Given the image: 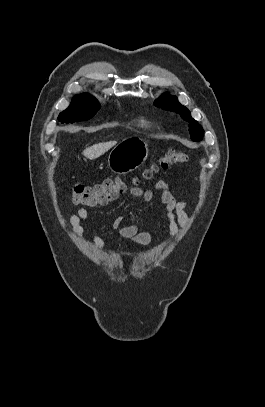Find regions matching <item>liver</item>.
Wrapping results in <instances>:
<instances>
[{
	"label": "liver",
	"mask_w": 265,
	"mask_h": 407,
	"mask_svg": "<svg viewBox=\"0 0 265 407\" xmlns=\"http://www.w3.org/2000/svg\"><path fill=\"white\" fill-rule=\"evenodd\" d=\"M116 143H117L116 141H108V142L94 144L90 147H87L83 151V155L90 160L96 159V158L100 157L101 155H103L108 150H110L113 146L116 145Z\"/></svg>",
	"instance_id": "liver-1"
}]
</instances>
